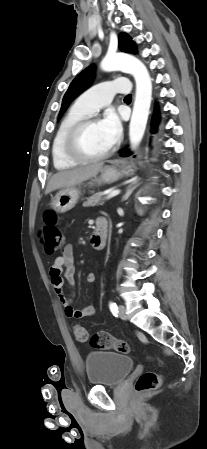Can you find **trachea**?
<instances>
[{
	"instance_id": "trachea-1",
	"label": "trachea",
	"mask_w": 207,
	"mask_h": 449,
	"mask_svg": "<svg viewBox=\"0 0 207 449\" xmlns=\"http://www.w3.org/2000/svg\"><path fill=\"white\" fill-rule=\"evenodd\" d=\"M131 98H132L131 94H128L127 96H125V99H131Z\"/></svg>"
}]
</instances>
